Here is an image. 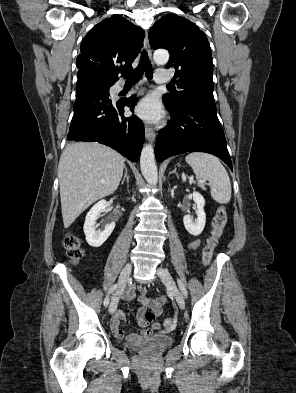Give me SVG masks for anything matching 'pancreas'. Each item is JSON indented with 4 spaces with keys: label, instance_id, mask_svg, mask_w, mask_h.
Instances as JSON below:
<instances>
[{
    "label": "pancreas",
    "instance_id": "1",
    "mask_svg": "<svg viewBox=\"0 0 296 393\" xmlns=\"http://www.w3.org/2000/svg\"><path fill=\"white\" fill-rule=\"evenodd\" d=\"M198 186L204 189V185L201 183H198Z\"/></svg>",
    "mask_w": 296,
    "mask_h": 393
}]
</instances>
